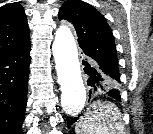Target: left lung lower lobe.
<instances>
[{"mask_svg": "<svg viewBox=\"0 0 153 134\" xmlns=\"http://www.w3.org/2000/svg\"><path fill=\"white\" fill-rule=\"evenodd\" d=\"M82 64L85 66L84 67L85 73L89 76L87 83L89 86L92 87V89L90 90L89 97L91 98V95H94L97 91L100 90L106 91V85L108 81L114 79L115 74L111 70L105 68L103 65L98 64L90 59L83 60ZM107 94L115 98L116 100L120 101V93L118 90L116 89L110 90L107 92ZM79 116L74 118H69L68 128H70L71 125L79 119Z\"/></svg>", "mask_w": 153, "mask_h": 134, "instance_id": "1", "label": "left lung lower lobe"}]
</instances>
